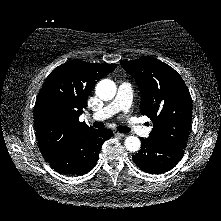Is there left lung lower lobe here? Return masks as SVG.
I'll return each mask as SVG.
<instances>
[{"label":"left lung lower lobe","mask_w":221,"mask_h":221,"mask_svg":"<svg viewBox=\"0 0 221 221\" xmlns=\"http://www.w3.org/2000/svg\"><path fill=\"white\" fill-rule=\"evenodd\" d=\"M140 151L132 156L134 163L143 171L161 174L172 169L184 154V149L156 143L141 138Z\"/></svg>","instance_id":"1"}]
</instances>
